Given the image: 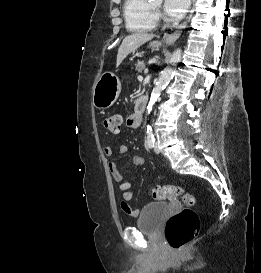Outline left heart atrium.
Here are the masks:
<instances>
[{
	"label": "left heart atrium",
	"mask_w": 261,
	"mask_h": 273,
	"mask_svg": "<svg viewBox=\"0 0 261 273\" xmlns=\"http://www.w3.org/2000/svg\"><path fill=\"white\" fill-rule=\"evenodd\" d=\"M188 4L189 0H165L164 10L170 19L178 20L185 13Z\"/></svg>",
	"instance_id": "left-heart-atrium-1"
}]
</instances>
